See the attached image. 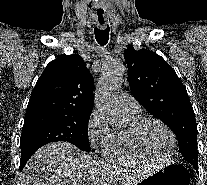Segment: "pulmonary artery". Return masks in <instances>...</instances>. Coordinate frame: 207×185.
<instances>
[{"label":"pulmonary artery","mask_w":207,"mask_h":185,"mask_svg":"<svg viewBox=\"0 0 207 185\" xmlns=\"http://www.w3.org/2000/svg\"><path fill=\"white\" fill-rule=\"evenodd\" d=\"M119 102L123 110L127 113L137 114L140 112L139 103L128 94L122 93L119 96Z\"/></svg>","instance_id":"obj_1"}]
</instances>
